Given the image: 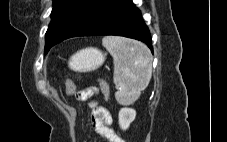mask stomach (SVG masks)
<instances>
[{"mask_svg":"<svg viewBox=\"0 0 227 142\" xmlns=\"http://www.w3.org/2000/svg\"><path fill=\"white\" fill-rule=\"evenodd\" d=\"M105 55L96 48H85L73 54L68 62L69 67L77 72H90L99 68Z\"/></svg>","mask_w":227,"mask_h":142,"instance_id":"0dacf381","label":"stomach"}]
</instances>
